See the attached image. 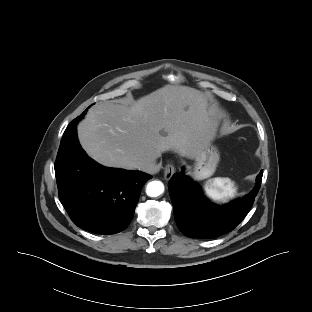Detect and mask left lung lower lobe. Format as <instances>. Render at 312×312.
<instances>
[{
  "label": "left lung lower lobe",
  "mask_w": 312,
  "mask_h": 312,
  "mask_svg": "<svg viewBox=\"0 0 312 312\" xmlns=\"http://www.w3.org/2000/svg\"><path fill=\"white\" fill-rule=\"evenodd\" d=\"M263 173L257 176L255 188L244 197L224 206L211 203L189 177L172 176L169 193L179 230L189 238H216L232 231L247 215L261 186Z\"/></svg>",
  "instance_id": "0a47b994"
}]
</instances>
